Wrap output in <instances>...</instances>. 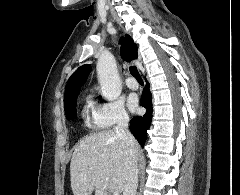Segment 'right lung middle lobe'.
Wrapping results in <instances>:
<instances>
[{
    "label": "right lung middle lobe",
    "instance_id": "right-lung-middle-lobe-1",
    "mask_svg": "<svg viewBox=\"0 0 240 195\" xmlns=\"http://www.w3.org/2000/svg\"><path fill=\"white\" fill-rule=\"evenodd\" d=\"M65 113L67 120H73L77 117L76 100L71 102L68 106L65 107Z\"/></svg>",
    "mask_w": 240,
    "mask_h": 195
}]
</instances>
